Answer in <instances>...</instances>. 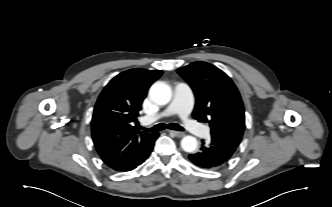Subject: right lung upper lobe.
I'll return each instance as SVG.
<instances>
[{
    "label": "right lung upper lobe",
    "mask_w": 332,
    "mask_h": 207,
    "mask_svg": "<svg viewBox=\"0 0 332 207\" xmlns=\"http://www.w3.org/2000/svg\"><path fill=\"white\" fill-rule=\"evenodd\" d=\"M162 71L130 69L115 76L101 92L92 117L95 147L109 167H123L145 152L155 133L134 126L151 84Z\"/></svg>",
    "instance_id": "right-lung-upper-lobe-1"
}]
</instances>
